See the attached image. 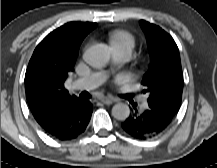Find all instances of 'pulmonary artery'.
I'll use <instances>...</instances> for the list:
<instances>
[{
    "instance_id": "1",
    "label": "pulmonary artery",
    "mask_w": 217,
    "mask_h": 168,
    "mask_svg": "<svg viewBox=\"0 0 217 168\" xmlns=\"http://www.w3.org/2000/svg\"><path fill=\"white\" fill-rule=\"evenodd\" d=\"M112 61L115 65H121L126 62L130 53L120 46H111ZM109 73L105 70L92 72L90 75L78 79L74 85L77 88L91 89L95 88L106 81Z\"/></svg>"
}]
</instances>
